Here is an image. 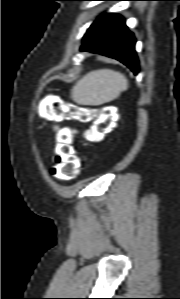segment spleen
Listing matches in <instances>:
<instances>
[{"label":"spleen","instance_id":"3e777b00","mask_svg":"<svg viewBox=\"0 0 180 299\" xmlns=\"http://www.w3.org/2000/svg\"><path fill=\"white\" fill-rule=\"evenodd\" d=\"M126 77L111 69L91 71L80 79L71 90V98L81 105H100L116 99L127 90Z\"/></svg>","mask_w":180,"mask_h":299}]
</instances>
